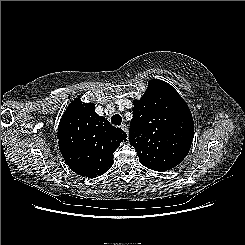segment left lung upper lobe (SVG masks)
Wrapping results in <instances>:
<instances>
[{
	"mask_svg": "<svg viewBox=\"0 0 245 245\" xmlns=\"http://www.w3.org/2000/svg\"><path fill=\"white\" fill-rule=\"evenodd\" d=\"M129 141L139 161L165 172L189 153L194 122L187 103L167 82L152 79L140 100H134Z\"/></svg>",
	"mask_w": 245,
	"mask_h": 245,
	"instance_id": "5c2ea615",
	"label": "left lung upper lobe"
}]
</instances>
